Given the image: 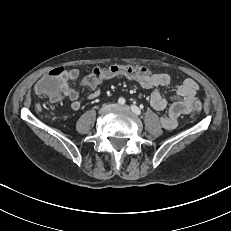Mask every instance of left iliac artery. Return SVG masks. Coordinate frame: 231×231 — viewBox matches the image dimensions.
I'll return each mask as SVG.
<instances>
[{
	"instance_id": "44dca946",
	"label": "left iliac artery",
	"mask_w": 231,
	"mask_h": 231,
	"mask_svg": "<svg viewBox=\"0 0 231 231\" xmlns=\"http://www.w3.org/2000/svg\"><path fill=\"white\" fill-rule=\"evenodd\" d=\"M131 110L136 114V115H140L141 114V110L135 106V105H132L131 106Z\"/></svg>"
}]
</instances>
